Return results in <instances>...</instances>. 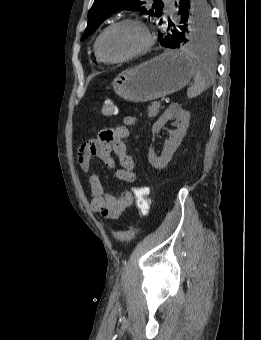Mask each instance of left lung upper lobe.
Wrapping results in <instances>:
<instances>
[{
  "mask_svg": "<svg viewBox=\"0 0 261 340\" xmlns=\"http://www.w3.org/2000/svg\"><path fill=\"white\" fill-rule=\"evenodd\" d=\"M144 3L142 0H95L88 13V25L81 41L90 36L110 14L118 10L125 9L150 14V16H161L164 7L161 0H154L150 10L143 6ZM162 23L163 21L160 20L159 24ZM168 26L172 28L158 33L160 44L164 37L170 35L178 38V48L215 51V29L205 0H191L190 7L186 14L181 16V20L170 22Z\"/></svg>",
  "mask_w": 261,
  "mask_h": 340,
  "instance_id": "5c2ea615",
  "label": "left lung upper lobe"
}]
</instances>
